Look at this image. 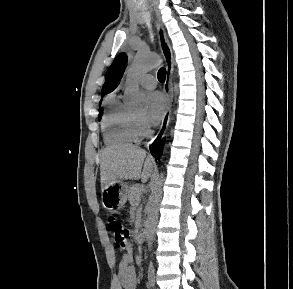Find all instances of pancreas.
<instances>
[{
    "mask_svg": "<svg viewBox=\"0 0 293 289\" xmlns=\"http://www.w3.org/2000/svg\"><path fill=\"white\" fill-rule=\"evenodd\" d=\"M141 187L139 185H134L130 187L128 192V200L132 207H135L140 201Z\"/></svg>",
    "mask_w": 293,
    "mask_h": 289,
    "instance_id": "1",
    "label": "pancreas"
}]
</instances>
